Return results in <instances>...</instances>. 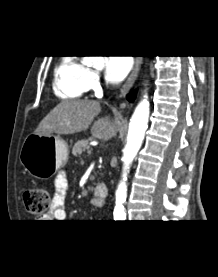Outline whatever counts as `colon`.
<instances>
[{
    "instance_id": "5ec220e1",
    "label": "colon",
    "mask_w": 218,
    "mask_h": 277,
    "mask_svg": "<svg viewBox=\"0 0 218 277\" xmlns=\"http://www.w3.org/2000/svg\"><path fill=\"white\" fill-rule=\"evenodd\" d=\"M23 202L28 213L42 215L50 207V191L43 187H31L25 190Z\"/></svg>"
}]
</instances>
